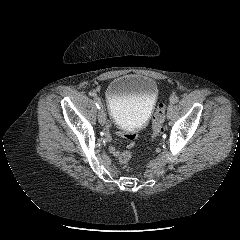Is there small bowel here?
I'll list each match as a JSON object with an SVG mask.
<instances>
[{
    "label": "small bowel",
    "mask_w": 240,
    "mask_h": 240,
    "mask_svg": "<svg viewBox=\"0 0 240 240\" xmlns=\"http://www.w3.org/2000/svg\"><path fill=\"white\" fill-rule=\"evenodd\" d=\"M103 124H104V127H103L102 130H103L104 133H106V139L108 141H111L113 139V136L109 132L111 130L110 126H111L112 123H111L110 120L107 119V120L104 121ZM116 135L118 137L123 136L125 139L128 140V144H129L128 148L136 146L137 140H138V137H139L138 133L136 131H133V130L129 131V132H127L126 130H123V131L118 130L116 132ZM110 152L116 157L121 155V152L115 147H111Z\"/></svg>",
    "instance_id": "small-bowel-1"
}]
</instances>
